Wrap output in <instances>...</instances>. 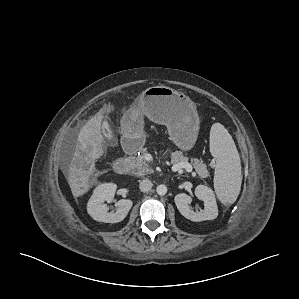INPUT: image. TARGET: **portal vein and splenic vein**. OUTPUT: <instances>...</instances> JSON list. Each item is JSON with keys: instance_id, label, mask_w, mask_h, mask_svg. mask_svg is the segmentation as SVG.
I'll use <instances>...</instances> for the list:
<instances>
[{"instance_id": "1", "label": "portal vein and splenic vein", "mask_w": 299, "mask_h": 299, "mask_svg": "<svg viewBox=\"0 0 299 299\" xmlns=\"http://www.w3.org/2000/svg\"><path fill=\"white\" fill-rule=\"evenodd\" d=\"M181 168H185L187 172H192V166L189 163H178V164H174L171 167L173 172H176Z\"/></svg>"}]
</instances>
